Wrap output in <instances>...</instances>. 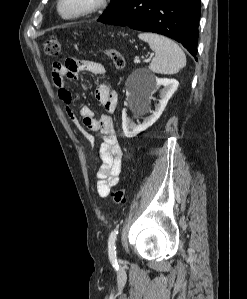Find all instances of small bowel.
Here are the masks:
<instances>
[{"instance_id": "c3829d8e", "label": "small bowel", "mask_w": 247, "mask_h": 299, "mask_svg": "<svg viewBox=\"0 0 247 299\" xmlns=\"http://www.w3.org/2000/svg\"><path fill=\"white\" fill-rule=\"evenodd\" d=\"M87 71L95 75H104L106 69L103 64L91 60L67 59L64 63L55 62L52 65V79L58 89L59 98L65 106L66 113L71 122L77 127L82 137L91 146L94 137L79 123L73 110L72 93L65 86V79L80 80V73ZM86 88V85H83ZM97 101L104 108L105 113L96 119L93 110L84 105L80 109L83 125L91 131L98 132L101 137L99 166L96 176L98 178L97 193L100 197H107L117 185L122 171L123 151L114 130L112 114L116 109L118 94L106 83H100L95 91Z\"/></svg>"}]
</instances>
